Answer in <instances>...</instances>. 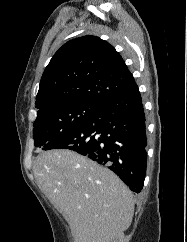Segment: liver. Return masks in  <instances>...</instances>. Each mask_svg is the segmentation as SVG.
<instances>
[{"instance_id": "6515ba94", "label": "liver", "mask_w": 187, "mask_h": 242, "mask_svg": "<svg viewBox=\"0 0 187 242\" xmlns=\"http://www.w3.org/2000/svg\"><path fill=\"white\" fill-rule=\"evenodd\" d=\"M37 184L69 223L74 242H109L131 225L133 195L112 171L70 150L40 153Z\"/></svg>"}]
</instances>
